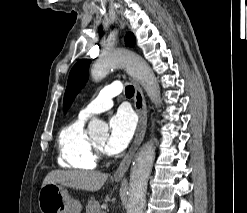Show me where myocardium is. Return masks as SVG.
Masks as SVG:
<instances>
[{
  "instance_id": "obj_1",
  "label": "myocardium",
  "mask_w": 247,
  "mask_h": 213,
  "mask_svg": "<svg viewBox=\"0 0 247 213\" xmlns=\"http://www.w3.org/2000/svg\"><path fill=\"white\" fill-rule=\"evenodd\" d=\"M91 147L96 159H101L105 156V151L102 147L98 146L94 141H91Z\"/></svg>"
}]
</instances>
